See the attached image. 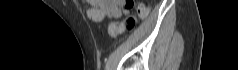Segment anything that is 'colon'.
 Listing matches in <instances>:
<instances>
[{
  "instance_id": "1",
  "label": "colon",
  "mask_w": 238,
  "mask_h": 70,
  "mask_svg": "<svg viewBox=\"0 0 238 70\" xmlns=\"http://www.w3.org/2000/svg\"><path fill=\"white\" fill-rule=\"evenodd\" d=\"M125 4L128 9H132L135 6V2L133 0H126ZM138 12L141 16H146L148 8L144 5H140L138 7ZM137 22V16L128 15L123 22L117 23L116 21H113L109 26V32L112 36H117L124 31H131L136 26Z\"/></svg>"
}]
</instances>
